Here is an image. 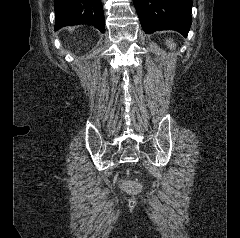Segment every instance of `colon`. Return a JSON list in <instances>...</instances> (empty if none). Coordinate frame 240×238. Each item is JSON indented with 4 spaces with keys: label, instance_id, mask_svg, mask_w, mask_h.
Returning <instances> with one entry per match:
<instances>
[{
    "label": "colon",
    "instance_id": "colon-1",
    "mask_svg": "<svg viewBox=\"0 0 240 238\" xmlns=\"http://www.w3.org/2000/svg\"><path fill=\"white\" fill-rule=\"evenodd\" d=\"M122 186L125 190L131 193L138 192L140 189V185L135 181H125L122 183Z\"/></svg>",
    "mask_w": 240,
    "mask_h": 238
}]
</instances>
